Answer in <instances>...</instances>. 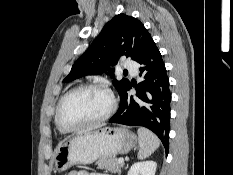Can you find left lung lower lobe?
<instances>
[{
    "instance_id": "left-lung-lower-lobe-1",
    "label": "left lung lower lobe",
    "mask_w": 233,
    "mask_h": 175,
    "mask_svg": "<svg viewBox=\"0 0 233 175\" xmlns=\"http://www.w3.org/2000/svg\"><path fill=\"white\" fill-rule=\"evenodd\" d=\"M138 63L141 64L139 75L143 81L136 87V97L128 96L129 84L120 96L119 109L109 123L150 129L162 141L168 154L171 93L166 68L155 44Z\"/></svg>"
}]
</instances>
